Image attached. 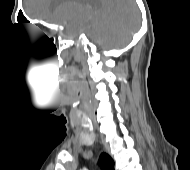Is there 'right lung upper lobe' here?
<instances>
[{"label": "right lung upper lobe", "mask_w": 190, "mask_h": 170, "mask_svg": "<svg viewBox=\"0 0 190 170\" xmlns=\"http://www.w3.org/2000/svg\"><path fill=\"white\" fill-rule=\"evenodd\" d=\"M99 165L104 170H114V161L105 153H102L99 159Z\"/></svg>", "instance_id": "right-lung-upper-lobe-1"}]
</instances>
